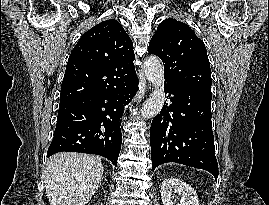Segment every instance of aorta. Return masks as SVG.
I'll use <instances>...</instances> for the list:
<instances>
[{
  "label": "aorta",
  "mask_w": 269,
  "mask_h": 205,
  "mask_svg": "<svg viewBox=\"0 0 269 205\" xmlns=\"http://www.w3.org/2000/svg\"><path fill=\"white\" fill-rule=\"evenodd\" d=\"M143 68L148 81L154 86V90L143 104L140 117L150 119L160 113L166 99L164 92V68L159 58L154 55L145 58Z\"/></svg>",
  "instance_id": "1"
}]
</instances>
